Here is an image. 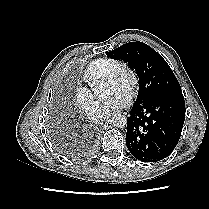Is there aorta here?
Returning <instances> with one entry per match:
<instances>
[{
  "mask_svg": "<svg viewBox=\"0 0 209 209\" xmlns=\"http://www.w3.org/2000/svg\"><path fill=\"white\" fill-rule=\"evenodd\" d=\"M94 93L101 97L103 96L104 90L101 87H95ZM111 124L115 127L123 128L127 124V118L124 114H116L112 117Z\"/></svg>",
  "mask_w": 209,
  "mask_h": 209,
  "instance_id": "1",
  "label": "aorta"
}]
</instances>
